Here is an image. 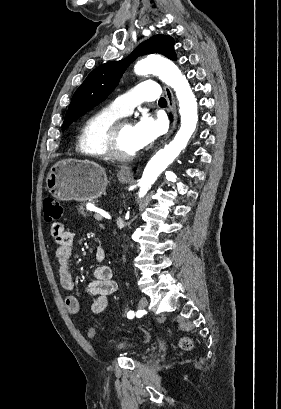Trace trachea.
Segmentation results:
<instances>
[{"instance_id":"3493384b","label":"trachea","mask_w":281,"mask_h":409,"mask_svg":"<svg viewBox=\"0 0 281 409\" xmlns=\"http://www.w3.org/2000/svg\"><path fill=\"white\" fill-rule=\"evenodd\" d=\"M159 104H166L167 105V101H166V99L164 98V97H161L160 99H159V102H158Z\"/></svg>"}]
</instances>
